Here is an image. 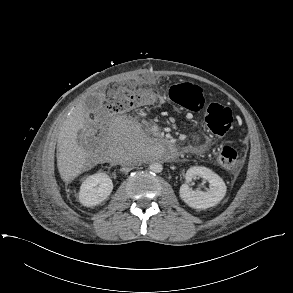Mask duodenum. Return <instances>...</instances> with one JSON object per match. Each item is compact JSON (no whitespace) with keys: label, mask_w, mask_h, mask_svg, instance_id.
<instances>
[{"label":"duodenum","mask_w":293,"mask_h":293,"mask_svg":"<svg viewBox=\"0 0 293 293\" xmlns=\"http://www.w3.org/2000/svg\"><path fill=\"white\" fill-rule=\"evenodd\" d=\"M116 155H117V152H116V151H113L112 155L110 156V159H111V160H115ZM173 158H174V157H172L171 159H173Z\"/></svg>","instance_id":"duodenum-1"}]
</instances>
